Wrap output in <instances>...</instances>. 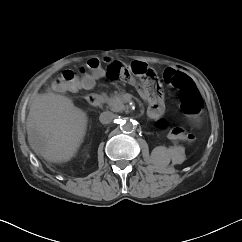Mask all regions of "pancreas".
Segmentation results:
<instances>
[{"mask_svg":"<svg viewBox=\"0 0 242 242\" xmlns=\"http://www.w3.org/2000/svg\"><path fill=\"white\" fill-rule=\"evenodd\" d=\"M124 91L120 92L119 94L112 95L108 97L106 94L103 95L105 101L107 102L110 109L114 112H120L125 109L124 103L126 100L124 99Z\"/></svg>","mask_w":242,"mask_h":242,"instance_id":"pancreas-1","label":"pancreas"}]
</instances>
